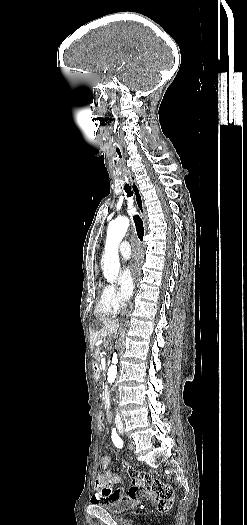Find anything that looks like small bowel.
Wrapping results in <instances>:
<instances>
[{
	"mask_svg": "<svg viewBox=\"0 0 247 525\" xmlns=\"http://www.w3.org/2000/svg\"><path fill=\"white\" fill-rule=\"evenodd\" d=\"M111 462V456L105 454L102 456L99 462V470L95 478L96 493L92 497L94 506H119L120 500L123 498L119 491L113 490L108 487L111 483H118L120 477L111 471H108V466ZM124 474L130 475L132 485L128 491L130 497L133 498L134 502L140 501L139 493L144 491V487L147 488L146 494H154L157 505L155 511L157 513L169 514L173 510L172 502V486L166 480L150 479L149 474H141L138 468L135 469H124Z\"/></svg>",
	"mask_w": 247,
	"mask_h": 525,
	"instance_id": "obj_1",
	"label": "small bowel"
}]
</instances>
